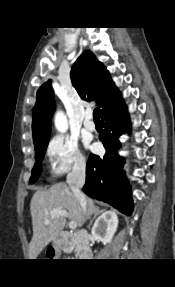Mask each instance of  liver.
I'll use <instances>...</instances> for the list:
<instances>
[{"label": "liver", "instance_id": "1", "mask_svg": "<svg viewBox=\"0 0 175 287\" xmlns=\"http://www.w3.org/2000/svg\"><path fill=\"white\" fill-rule=\"evenodd\" d=\"M87 208L84 212L70 186L58 183L48 190H38L34 193L30 211L33 225V237L29 244V257L36 259L47 244L62 232L66 224L64 216L52 218L54 209L66 210L68 218L82 227L85 221L97 210L93 200L86 199ZM47 220V223L45 221Z\"/></svg>", "mask_w": 175, "mask_h": 287}]
</instances>
